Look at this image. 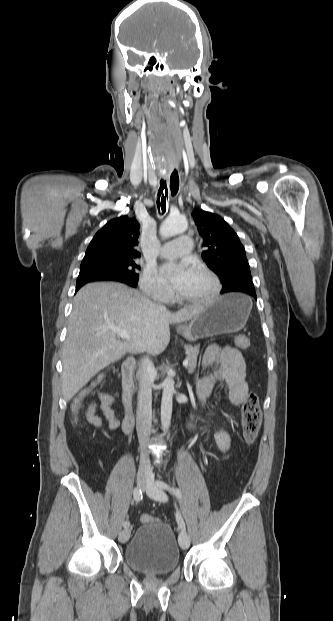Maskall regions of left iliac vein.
Masks as SVG:
<instances>
[{"mask_svg": "<svg viewBox=\"0 0 333 621\" xmlns=\"http://www.w3.org/2000/svg\"><path fill=\"white\" fill-rule=\"evenodd\" d=\"M146 491L156 501L165 502L167 500L162 489L156 485L152 472L147 477ZM179 545L182 549H187L190 545V539L185 530H182L179 534Z\"/></svg>", "mask_w": 333, "mask_h": 621, "instance_id": "4c4485c4", "label": "left iliac vein"}]
</instances>
